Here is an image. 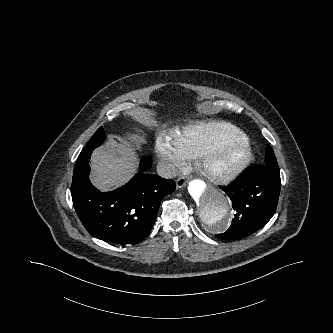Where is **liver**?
I'll list each match as a JSON object with an SVG mask.
<instances>
[{
    "mask_svg": "<svg viewBox=\"0 0 333 333\" xmlns=\"http://www.w3.org/2000/svg\"><path fill=\"white\" fill-rule=\"evenodd\" d=\"M91 162L92 184L102 191H108L125 184L133 176L137 158L124 139L109 135L105 145L93 152Z\"/></svg>",
    "mask_w": 333,
    "mask_h": 333,
    "instance_id": "obj_1",
    "label": "liver"
}]
</instances>
